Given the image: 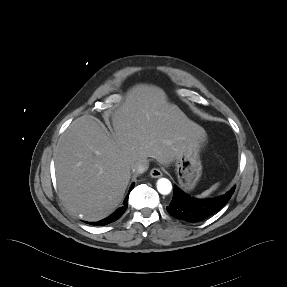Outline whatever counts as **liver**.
Here are the masks:
<instances>
[{
    "label": "liver",
    "mask_w": 287,
    "mask_h": 287,
    "mask_svg": "<svg viewBox=\"0 0 287 287\" xmlns=\"http://www.w3.org/2000/svg\"><path fill=\"white\" fill-rule=\"evenodd\" d=\"M114 133L91 115L74 120L54 153L61 200L86 221L107 217L122 201L132 165L148 157L170 164L192 137L206 131L190 121L155 86L137 85L112 114Z\"/></svg>",
    "instance_id": "liver-1"
}]
</instances>
